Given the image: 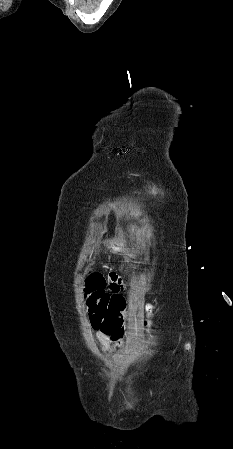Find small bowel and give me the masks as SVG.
<instances>
[{
  "instance_id": "obj_1",
  "label": "small bowel",
  "mask_w": 233,
  "mask_h": 449,
  "mask_svg": "<svg viewBox=\"0 0 233 449\" xmlns=\"http://www.w3.org/2000/svg\"><path fill=\"white\" fill-rule=\"evenodd\" d=\"M108 277L110 286L106 288V293L110 295L115 291L116 294H119L120 291L125 288L122 276L117 270H110L108 272ZM89 321L91 328L94 331V336L103 349L114 350L122 346V338L124 336L123 328H93L90 315Z\"/></svg>"
}]
</instances>
